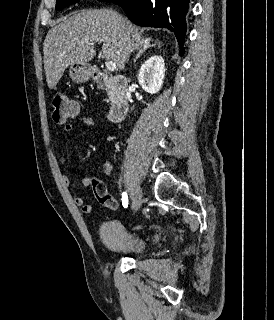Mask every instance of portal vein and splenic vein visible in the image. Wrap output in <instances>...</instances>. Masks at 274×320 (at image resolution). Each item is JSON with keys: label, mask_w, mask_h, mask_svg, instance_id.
I'll use <instances>...</instances> for the list:
<instances>
[{"label": "portal vein and splenic vein", "mask_w": 274, "mask_h": 320, "mask_svg": "<svg viewBox=\"0 0 274 320\" xmlns=\"http://www.w3.org/2000/svg\"><path fill=\"white\" fill-rule=\"evenodd\" d=\"M105 66L108 72H114V70H116V62H113V60H107V62H105Z\"/></svg>", "instance_id": "18ae733b"}]
</instances>
